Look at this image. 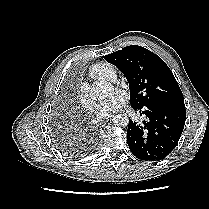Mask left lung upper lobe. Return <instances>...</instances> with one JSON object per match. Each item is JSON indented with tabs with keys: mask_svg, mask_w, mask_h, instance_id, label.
I'll return each mask as SVG.
<instances>
[{
	"mask_svg": "<svg viewBox=\"0 0 209 209\" xmlns=\"http://www.w3.org/2000/svg\"><path fill=\"white\" fill-rule=\"evenodd\" d=\"M104 59L125 75L134 109L158 104H184L183 94L172 71L148 49L131 45L104 56Z\"/></svg>",
	"mask_w": 209,
	"mask_h": 209,
	"instance_id": "5c2ea615",
	"label": "left lung upper lobe"
}]
</instances>
